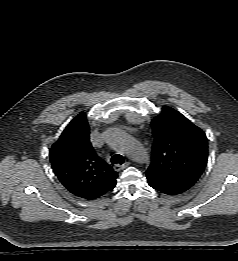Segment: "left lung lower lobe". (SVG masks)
I'll list each match as a JSON object with an SVG mask.
<instances>
[{
  "label": "left lung lower lobe",
  "instance_id": "0a47b994",
  "mask_svg": "<svg viewBox=\"0 0 238 261\" xmlns=\"http://www.w3.org/2000/svg\"><path fill=\"white\" fill-rule=\"evenodd\" d=\"M148 184H149L152 188H154L155 190H157V191H159V192H162V193H165V194H168V195H174V194H173L170 190H168V189L159 187V186H157V185H155V184H152V183H150V182H148Z\"/></svg>",
  "mask_w": 238,
  "mask_h": 261
}]
</instances>
